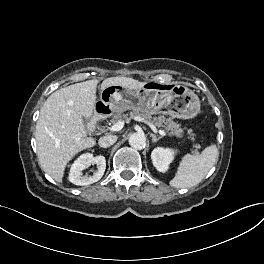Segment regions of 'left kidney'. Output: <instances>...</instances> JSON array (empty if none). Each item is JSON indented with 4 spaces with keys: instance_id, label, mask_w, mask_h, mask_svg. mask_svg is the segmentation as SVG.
Wrapping results in <instances>:
<instances>
[{
    "instance_id": "1",
    "label": "left kidney",
    "mask_w": 264,
    "mask_h": 264,
    "mask_svg": "<svg viewBox=\"0 0 264 264\" xmlns=\"http://www.w3.org/2000/svg\"><path fill=\"white\" fill-rule=\"evenodd\" d=\"M177 150L171 148L156 147L151 153L153 165L159 172H166L174 159Z\"/></svg>"
}]
</instances>
